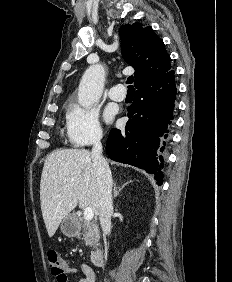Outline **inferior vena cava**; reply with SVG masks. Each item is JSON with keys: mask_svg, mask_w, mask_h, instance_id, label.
<instances>
[{"mask_svg": "<svg viewBox=\"0 0 232 282\" xmlns=\"http://www.w3.org/2000/svg\"><path fill=\"white\" fill-rule=\"evenodd\" d=\"M101 137L102 136H98L93 143L91 158L97 177L100 225L103 235L105 236L111 232V216L113 214V181L108 163L102 156Z\"/></svg>", "mask_w": 232, "mask_h": 282, "instance_id": "1", "label": "inferior vena cava"}]
</instances>
